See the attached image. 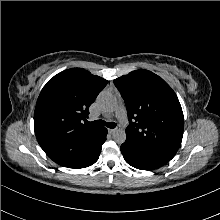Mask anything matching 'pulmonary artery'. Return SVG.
Returning <instances> with one entry per match:
<instances>
[{"mask_svg":"<svg viewBox=\"0 0 220 220\" xmlns=\"http://www.w3.org/2000/svg\"><path fill=\"white\" fill-rule=\"evenodd\" d=\"M116 117L120 120V122L124 125L128 124L127 113L124 105H120L116 111Z\"/></svg>","mask_w":220,"mask_h":220,"instance_id":"e3ab8cb5","label":"pulmonary artery"}]
</instances>
